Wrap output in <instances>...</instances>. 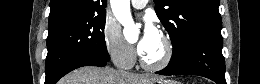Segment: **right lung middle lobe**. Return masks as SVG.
<instances>
[{
    "instance_id": "obj_1",
    "label": "right lung middle lobe",
    "mask_w": 260,
    "mask_h": 84,
    "mask_svg": "<svg viewBox=\"0 0 260 84\" xmlns=\"http://www.w3.org/2000/svg\"><path fill=\"white\" fill-rule=\"evenodd\" d=\"M106 12L49 28L46 81H52L68 64L92 58L108 62L104 27Z\"/></svg>"
}]
</instances>
